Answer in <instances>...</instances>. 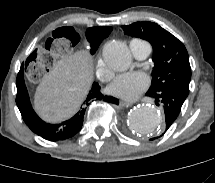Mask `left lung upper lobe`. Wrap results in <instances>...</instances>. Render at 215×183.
Segmentation results:
<instances>
[{
    "instance_id": "obj_1",
    "label": "left lung upper lobe",
    "mask_w": 215,
    "mask_h": 183,
    "mask_svg": "<svg viewBox=\"0 0 215 183\" xmlns=\"http://www.w3.org/2000/svg\"><path fill=\"white\" fill-rule=\"evenodd\" d=\"M122 30L126 35L148 40L153 47V78L148 92L173 88L188 96L191 67L182 42L159 25L148 21L122 26Z\"/></svg>"
}]
</instances>
